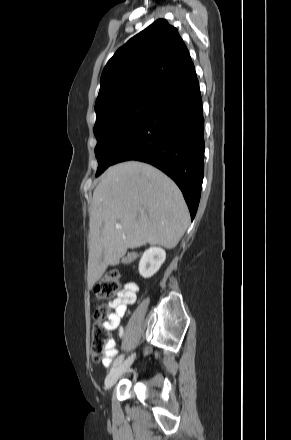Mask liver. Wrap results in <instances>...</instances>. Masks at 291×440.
<instances>
[{
  "label": "liver",
  "instance_id": "1",
  "mask_svg": "<svg viewBox=\"0 0 291 440\" xmlns=\"http://www.w3.org/2000/svg\"><path fill=\"white\" fill-rule=\"evenodd\" d=\"M189 221L180 189L160 170L138 161L109 167L93 192L88 235L89 288L108 266L119 264L128 248L146 243L174 248Z\"/></svg>",
  "mask_w": 291,
  "mask_h": 440
}]
</instances>
